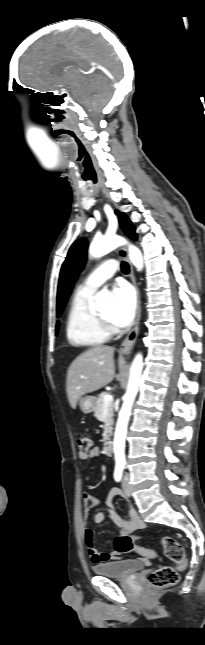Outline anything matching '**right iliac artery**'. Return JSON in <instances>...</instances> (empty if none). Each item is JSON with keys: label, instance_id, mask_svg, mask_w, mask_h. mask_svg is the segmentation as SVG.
I'll use <instances>...</instances> for the list:
<instances>
[{"label": "right iliac artery", "instance_id": "1", "mask_svg": "<svg viewBox=\"0 0 205 645\" xmlns=\"http://www.w3.org/2000/svg\"><path fill=\"white\" fill-rule=\"evenodd\" d=\"M122 473H123V466H116L115 472H114V478L117 482L121 480Z\"/></svg>", "mask_w": 205, "mask_h": 645}]
</instances>
